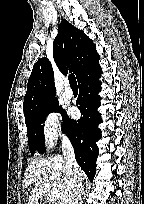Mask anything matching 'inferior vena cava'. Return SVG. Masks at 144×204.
Wrapping results in <instances>:
<instances>
[{
    "instance_id": "obj_1",
    "label": "inferior vena cava",
    "mask_w": 144,
    "mask_h": 204,
    "mask_svg": "<svg viewBox=\"0 0 144 204\" xmlns=\"http://www.w3.org/2000/svg\"><path fill=\"white\" fill-rule=\"evenodd\" d=\"M62 152L66 163L68 189L60 204H78L82 192L81 169L76 162L73 146L67 137L62 140Z\"/></svg>"
}]
</instances>
